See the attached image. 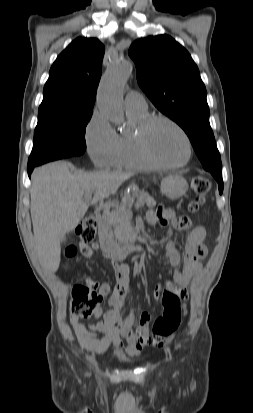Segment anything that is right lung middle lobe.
Instances as JSON below:
<instances>
[{
  "label": "right lung middle lobe",
  "mask_w": 253,
  "mask_h": 413,
  "mask_svg": "<svg viewBox=\"0 0 253 413\" xmlns=\"http://www.w3.org/2000/svg\"><path fill=\"white\" fill-rule=\"evenodd\" d=\"M93 111H59L38 114L28 167L82 155L86 150L85 129Z\"/></svg>",
  "instance_id": "right-lung-middle-lobe-1"
}]
</instances>
